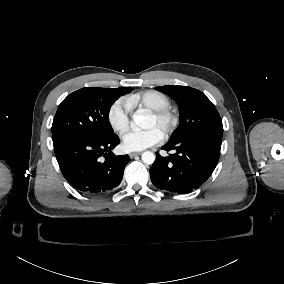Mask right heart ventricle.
I'll use <instances>...</instances> for the list:
<instances>
[{"label": "right heart ventricle", "instance_id": "1", "mask_svg": "<svg viewBox=\"0 0 284 284\" xmlns=\"http://www.w3.org/2000/svg\"><path fill=\"white\" fill-rule=\"evenodd\" d=\"M132 103L152 111L171 108L170 98L165 93L153 89L145 90L134 95Z\"/></svg>", "mask_w": 284, "mask_h": 284}]
</instances>
